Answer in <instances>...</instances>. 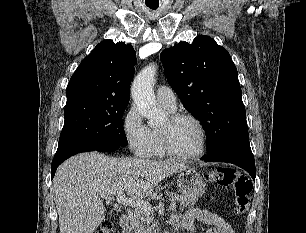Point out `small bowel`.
<instances>
[{"label": "small bowel", "instance_id": "obj_1", "mask_svg": "<svg viewBox=\"0 0 306 233\" xmlns=\"http://www.w3.org/2000/svg\"><path fill=\"white\" fill-rule=\"evenodd\" d=\"M198 222L210 226L207 233H235L232 226L221 216L198 208H193L181 215L174 216L171 220V225L175 230L183 227L188 233H195Z\"/></svg>", "mask_w": 306, "mask_h": 233}]
</instances>
